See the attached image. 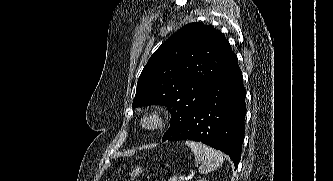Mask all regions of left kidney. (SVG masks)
Returning <instances> with one entry per match:
<instances>
[{"mask_svg": "<svg viewBox=\"0 0 333 181\" xmlns=\"http://www.w3.org/2000/svg\"><path fill=\"white\" fill-rule=\"evenodd\" d=\"M197 181H209V180H206V179H200V180H197Z\"/></svg>", "mask_w": 333, "mask_h": 181, "instance_id": "obj_1", "label": "left kidney"}]
</instances>
